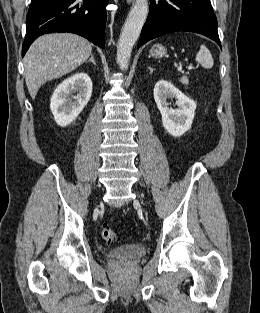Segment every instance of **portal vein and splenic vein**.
<instances>
[{
    "mask_svg": "<svg viewBox=\"0 0 260 313\" xmlns=\"http://www.w3.org/2000/svg\"><path fill=\"white\" fill-rule=\"evenodd\" d=\"M192 68H193L192 66H189V67H188L189 70H191ZM178 71H179L180 73H184V71H183L182 69H178Z\"/></svg>",
    "mask_w": 260,
    "mask_h": 313,
    "instance_id": "1",
    "label": "portal vein and splenic vein"
}]
</instances>
